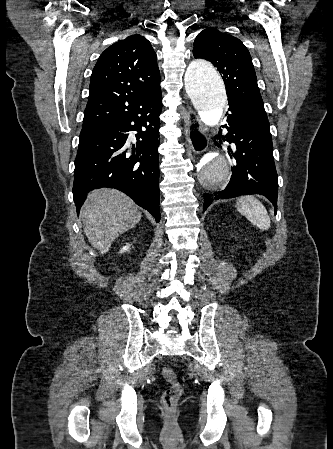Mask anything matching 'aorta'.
I'll return each instance as SVG.
<instances>
[{
	"label": "aorta",
	"mask_w": 333,
	"mask_h": 449,
	"mask_svg": "<svg viewBox=\"0 0 333 449\" xmlns=\"http://www.w3.org/2000/svg\"><path fill=\"white\" fill-rule=\"evenodd\" d=\"M187 95L199 112L201 119L218 120L226 106L222 79L215 67L206 60L195 59L184 76ZM230 161L219 151L203 155L194 165L195 183L208 192L219 191L226 186Z\"/></svg>",
	"instance_id": "obj_1"
}]
</instances>
